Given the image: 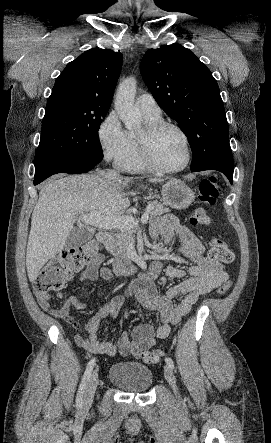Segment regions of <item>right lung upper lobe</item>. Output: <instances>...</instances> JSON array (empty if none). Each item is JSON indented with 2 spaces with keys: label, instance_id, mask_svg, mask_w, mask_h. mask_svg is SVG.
<instances>
[{
  "label": "right lung upper lobe",
  "instance_id": "right-lung-upper-lobe-1",
  "mask_svg": "<svg viewBox=\"0 0 271 443\" xmlns=\"http://www.w3.org/2000/svg\"><path fill=\"white\" fill-rule=\"evenodd\" d=\"M123 55L110 49L81 54L57 77L47 104L72 102L96 112H108L122 67Z\"/></svg>",
  "mask_w": 271,
  "mask_h": 443
}]
</instances>
